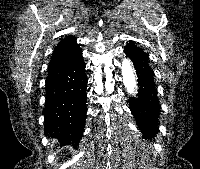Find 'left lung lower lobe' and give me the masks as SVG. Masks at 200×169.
I'll return each mask as SVG.
<instances>
[{
  "mask_svg": "<svg viewBox=\"0 0 200 169\" xmlns=\"http://www.w3.org/2000/svg\"><path fill=\"white\" fill-rule=\"evenodd\" d=\"M125 53L133 62L138 77V94L130 99V110L143 138L150 139L158 132L159 101L153 81L154 73L148 64V55L142 49L128 43Z\"/></svg>",
  "mask_w": 200,
  "mask_h": 169,
  "instance_id": "1",
  "label": "left lung lower lobe"
}]
</instances>
